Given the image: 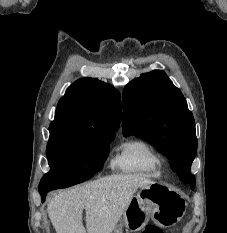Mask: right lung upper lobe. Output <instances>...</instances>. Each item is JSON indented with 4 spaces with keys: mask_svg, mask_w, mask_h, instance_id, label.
<instances>
[{
    "mask_svg": "<svg viewBox=\"0 0 227 233\" xmlns=\"http://www.w3.org/2000/svg\"><path fill=\"white\" fill-rule=\"evenodd\" d=\"M121 119L120 93L94 78H81L59 100L50 134L100 137L117 131Z\"/></svg>",
    "mask_w": 227,
    "mask_h": 233,
    "instance_id": "1",
    "label": "right lung upper lobe"
}]
</instances>
